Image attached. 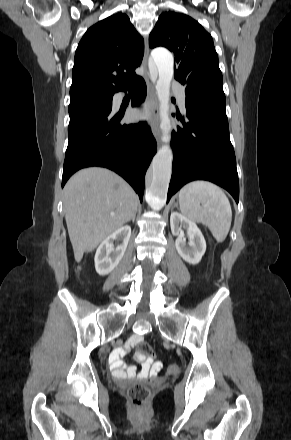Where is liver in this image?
I'll list each match as a JSON object with an SVG mask.
<instances>
[{
	"label": "liver",
	"mask_w": 291,
	"mask_h": 440,
	"mask_svg": "<svg viewBox=\"0 0 291 440\" xmlns=\"http://www.w3.org/2000/svg\"><path fill=\"white\" fill-rule=\"evenodd\" d=\"M63 193L68 234L77 262L129 222L137 211L138 196L132 187L114 172L100 167L75 173Z\"/></svg>",
	"instance_id": "1"
}]
</instances>
